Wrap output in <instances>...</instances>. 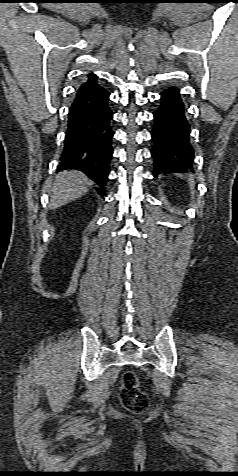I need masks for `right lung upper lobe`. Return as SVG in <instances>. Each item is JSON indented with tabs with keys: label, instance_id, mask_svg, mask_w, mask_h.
Instances as JSON below:
<instances>
[{
	"label": "right lung upper lobe",
	"instance_id": "right-lung-upper-lobe-1",
	"mask_svg": "<svg viewBox=\"0 0 238 476\" xmlns=\"http://www.w3.org/2000/svg\"><path fill=\"white\" fill-rule=\"evenodd\" d=\"M96 78H97V77L94 76V75L88 76L87 82H84V83H82V84L80 85V87H79L77 93H79V92L85 90L86 88L90 87V86L93 84V81H94ZM77 93H76V94H77Z\"/></svg>",
	"mask_w": 238,
	"mask_h": 476
}]
</instances>
